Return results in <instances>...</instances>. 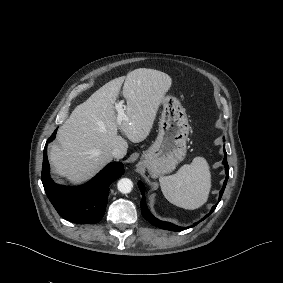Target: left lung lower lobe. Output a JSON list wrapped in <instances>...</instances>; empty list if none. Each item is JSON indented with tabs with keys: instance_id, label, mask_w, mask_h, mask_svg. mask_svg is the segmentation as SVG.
Returning a JSON list of instances; mask_svg holds the SVG:
<instances>
[{
	"instance_id": "0a47b994",
	"label": "left lung lower lobe",
	"mask_w": 283,
	"mask_h": 283,
	"mask_svg": "<svg viewBox=\"0 0 283 283\" xmlns=\"http://www.w3.org/2000/svg\"><path fill=\"white\" fill-rule=\"evenodd\" d=\"M224 150V160H223V164L225 166V171H226V179L224 181V185H223V188L221 189L220 191V196H219V200L221 199L222 197V194L224 192V189L226 187V184H227V180H228V177H229V167H228V163H227V153L225 151V148L223 149ZM138 187L141 191V194H142V200L140 202V206H141V213L143 215V217L150 223L152 224L153 226L155 227H158L160 229H166V230H170V231H182L185 229V227H180L178 225H175L173 223H170V222H166V221H162V220H159L158 218L154 217L149 209L147 208V205L145 203V195H144V185L142 184V182H138ZM217 204L214 205L210 211L209 214H207L201 221H203L204 219H206L216 208ZM197 223H195L193 226L197 225ZM191 226V227H193ZM189 228V227H187ZM186 228V229H187Z\"/></svg>"
}]
</instances>
